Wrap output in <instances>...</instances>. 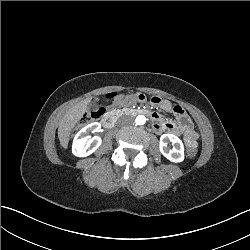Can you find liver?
Listing matches in <instances>:
<instances>
[{"label":"liver","instance_id":"obj_1","mask_svg":"<svg viewBox=\"0 0 250 250\" xmlns=\"http://www.w3.org/2000/svg\"><path fill=\"white\" fill-rule=\"evenodd\" d=\"M88 100L78 102L73 108L68 110L58 127V137L60 144L66 148L69 140V135L75 126V123L82 118V114L87 107Z\"/></svg>","mask_w":250,"mask_h":250}]
</instances>
